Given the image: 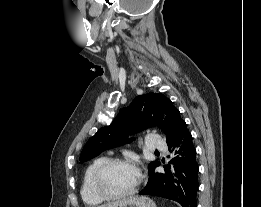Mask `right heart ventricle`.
Listing matches in <instances>:
<instances>
[{
    "mask_svg": "<svg viewBox=\"0 0 261 207\" xmlns=\"http://www.w3.org/2000/svg\"><path fill=\"white\" fill-rule=\"evenodd\" d=\"M109 159L110 157L108 156L98 157L94 159L84 171L80 193L83 201L89 206H98L104 201L94 190L93 177L98 167Z\"/></svg>",
    "mask_w": 261,
    "mask_h": 207,
    "instance_id": "1",
    "label": "right heart ventricle"
}]
</instances>
